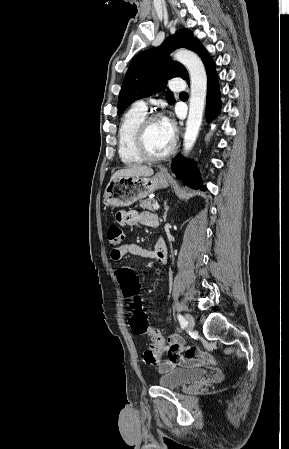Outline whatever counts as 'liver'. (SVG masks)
<instances>
[{
    "mask_svg": "<svg viewBox=\"0 0 289 449\" xmlns=\"http://www.w3.org/2000/svg\"><path fill=\"white\" fill-rule=\"evenodd\" d=\"M154 171L152 168L147 166H132L125 169H121L116 171L111 180L116 179L118 177H149L153 175Z\"/></svg>",
    "mask_w": 289,
    "mask_h": 449,
    "instance_id": "liver-1",
    "label": "liver"
}]
</instances>
